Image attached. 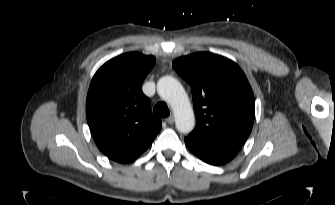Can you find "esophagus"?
Listing matches in <instances>:
<instances>
[{"label":"esophagus","mask_w":335,"mask_h":205,"mask_svg":"<svg viewBox=\"0 0 335 205\" xmlns=\"http://www.w3.org/2000/svg\"><path fill=\"white\" fill-rule=\"evenodd\" d=\"M165 121L168 123V124H173L174 123V117L173 116H169L168 118L165 119Z\"/></svg>","instance_id":"obj_1"}]
</instances>
